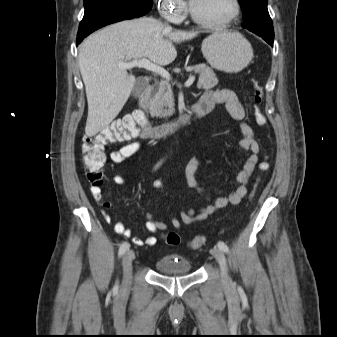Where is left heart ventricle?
Here are the masks:
<instances>
[{
	"label": "left heart ventricle",
	"instance_id": "1",
	"mask_svg": "<svg viewBox=\"0 0 337 337\" xmlns=\"http://www.w3.org/2000/svg\"><path fill=\"white\" fill-rule=\"evenodd\" d=\"M195 13L205 19L220 21L229 16L231 0H190Z\"/></svg>",
	"mask_w": 337,
	"mask_h": 337
}]
</instances>
